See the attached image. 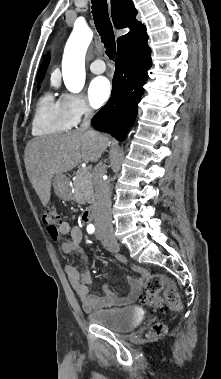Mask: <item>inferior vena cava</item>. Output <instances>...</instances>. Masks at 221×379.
<instances>
[{
  "label": "inferior vena cava",
  "instance_id": "obj_1",
  "mask_svg": "<svg viewBox=\"0 0 221 379\" xmlns=\"http://www.w3.org/2000/svg\"><path fill=\"white\" fill-rule=\"evenodd\" d=\"M92 109L87 106L84 110V119L80 125V130L86 131L90 127ZM106 172L103 162H99L93 173V182L97 200V212L95 226L97 229L113 230L111 218V197L108 183L103 179Z\"/></svg>",
  "mask_w": 221,
  "mask_h": 379
}]
</instances>
